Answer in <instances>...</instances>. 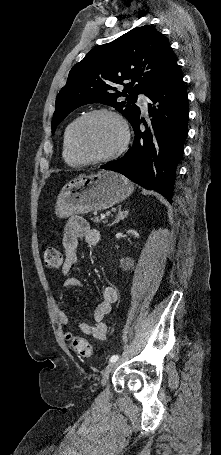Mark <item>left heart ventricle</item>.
<instances>
[{
    "mask_svg": "<svg viewBox=\"0 0 221 455\" xmlns=\"http://www.w3.org/2000/svg\"><path fill=\"white\" fill-rule=\"evenodd\" d=\"M123 139L116 119L99 115L86 120L79 130L78 142L84 154L91 158L105 156L116 150Z\"/></svg>",
    "mask_w": 221,
    "mask_h": 455,
    "instance_id": "b2bd125f",
    "label": "left heart ventricle"
}]
</instances>
